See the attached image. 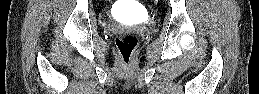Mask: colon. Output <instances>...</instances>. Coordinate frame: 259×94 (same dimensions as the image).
<instances>
[{"label":"colon","instance_id":"colon-1","mask_svg":"<svg viewBox=\"0 0 259 94\" xmlns=\"http://www.w3.org/2000/svg\"><path fill=\"white\" fill-rule=\"evenodd\" d=\"M116 45L123 65L127 67L130 66L132 62V53L137 45L136 35L134 33L119 35L116 39Z\"/></svg>","mask_w":259,"mask_h":94}]
</instances>
